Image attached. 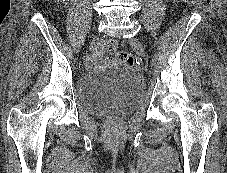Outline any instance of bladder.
Listing matches in <instances>:
<instances>
[{"label": "bladder", "instance_id": "1", "mask_svg": "<svg viewBox=\"0 0 227 173\" xmlns=\"http://www.w3.org/2000/svg\"><path fill=\"white\" fill-rule=\"evenodd\" d=\"M144 89L139 74L112 67L82 74L77 81L76 96L79 105L90 114L126 113L140 104Z\"/></svg>", "mask_w": 227, "mask_h": 173}]
</instances>
